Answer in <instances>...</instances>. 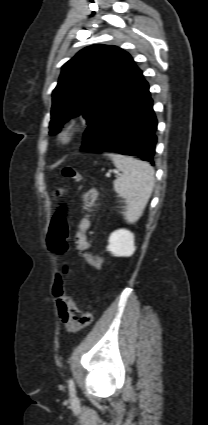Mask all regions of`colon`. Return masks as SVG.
I'll return each mask as SVG.
<instances>
[{
    "instance_id": "1",
    "label": "colon",
    "mask_w": 208,
    "mask_h": 425,
    "mask_svg": "<svg viewBox=\"0 0 208 425\" xmlns=\"http://www.w3.org/2000/svg\"><path fill=\"white\" fill-rule=\"evenodd\" d=\"M62 174L65 178L72 180L74 182H80L81 175L73 167L67 166L62 169ZM64 189L57 187L55 193L57 196L63 194ZM67 212L68 206L65 203H62L58 206L55 215L52 218L47 243L51 251L56 254H64L68 252V236L69 229L67 224ZM80 257L87 263L95 266L96 268H101L103 266V260L101 257L89 254L86 252V249H80ZM70 272L69 265L64 263L61 268L57 271L55 279L52 284V293L56 299H62L67 305V312L72 321L79 327H86L91 324L93 320V315L88 310H79L73 299L66 294L64 290V280Z\"/></svg>"
}]
</instances>
